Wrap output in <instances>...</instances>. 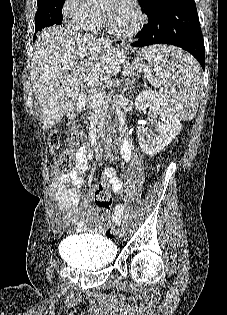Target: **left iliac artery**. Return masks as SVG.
Masks as SVG:
<instances>
[{"label": "left iliac artery", "mask_w": 227, "mask_h": 315, "mask_svg": "<svg viewBox=\"0 0 227 315\" xmlns=\"http://www.w3.org/2000/svg\"><path fill=\"white\" fill-rule=\"evenodd\" d=\"M128 220V214H125L124 219H123V225L127 223Z\"/></svg>", "instance_id": "obj_1"}]
</instances>
